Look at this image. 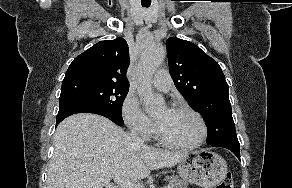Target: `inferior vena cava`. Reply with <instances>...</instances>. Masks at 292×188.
I'll return each instance as SVG.
<instances>
[{
    "label": "inferior vena cava",
    "instance_id": "inferior-vena-cava-1",
    "mask_svg": "<svg viewBox=\"0 0 292 188\" xmlns=\"http://www.w3.org/2000/svg\"><path fill=\"white\" fill-rule=\"evenodd\" d=\"M130 137L132 141L136 143L137 145H140V146L144 145V141L138 136L136 129H132Z\"/></svg>",
    "mask_w": 292,
    "mask_h": 188
}]
</instances>
